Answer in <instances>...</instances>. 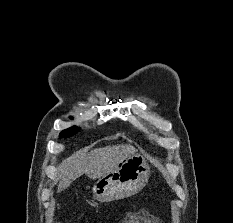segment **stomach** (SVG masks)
Masks as SVG:
<instances>
[{
	"instance_id": "1",
	"label": "stomach",
	"mask_w": 233,
	"mask_h": 223,
	"mask_svg": "<svg viewBox=\"0 0 233 223\" xmlns=\"http://www.w3.org/2000/svg\"><path fill=\"white\" fill-rule=\"evenodd\" d=\"M150 173L145 157L131 153L118 161L112 171L96 179L91 187L92 195L100 203L131 197L147 185Z\"/></svg>"
}]
</instances>
